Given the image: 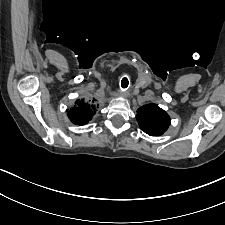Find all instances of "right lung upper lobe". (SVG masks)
Returning a JSON list of instances; mask_svg holds the SVG:
<instances>
[{"label":"right lung upper lobe","mask_w":225,"mask_h":225,"mask_svg":"<svg viewBox=\"0 0 225 225\" xmlns=\"http://www.w3.org/2000/svg\"><path fill=\"white\" fill-rule=\"evenodd\" d=\"M95 113L96 110L93 104H86L84 101H76L75 107L68 111V117L72 123L84 125L92 119Z\"/></svg>","instance_id":"obj_1"}]
</instances>
